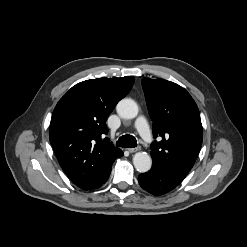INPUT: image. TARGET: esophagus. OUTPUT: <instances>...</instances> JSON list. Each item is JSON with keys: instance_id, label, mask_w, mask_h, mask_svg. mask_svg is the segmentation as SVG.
Instances as JSON below:
<instances>
[{"instance_id": "esophagus-1", "label": "esophagus", "mask_w": 247, "mask_h": 247, "mask_svg": "<svg viewBox=\"0 0 247 247\" xmlns=\"http://www.w3.org/2000/svg\"><path fill=\"white\" fill-rule=\"evenodd\" d=\"M130 153H134L140 150V147H136V148H128L127 149Z\"/></svg>"}]
</instances>
